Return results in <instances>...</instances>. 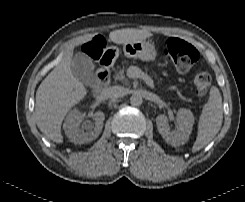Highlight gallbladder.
Wrapping results in <instances>:
<instances>
[{"label": "gallbladder", "mask_w": 245, "mask_h": 202, "mask_svg": "<svg viewBox=\"0 0 245 202\" xmlns=\"http://www.w3.org/2000/svg\"><path fill=\"white\" fill-rule=\"evenodd\" d=\"M71 71L79 81L87 85L95 80L92 59L81 52L76 53L71 61Z\"/></svg>", "instance_id": "bac80fb5"}]
</instances>
